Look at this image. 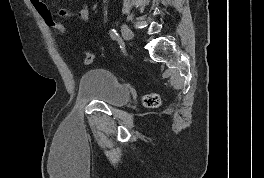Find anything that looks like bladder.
I'll use <instances>...</instances> for the list:
<instances>
[{"mask_svg":"<svg viewBox=\"0 0 264 178\" xmlns=\"http://www.w3.org/2000/svg\"><path fill=\"white\" fill-rule=\"evenodd\" d=\"M78 96L82 100L124 106L130 99V92L113 72L99 68L82 74L78 84Z\"/></svg>","mask_w":264,"mask_h":178,"instance_id":"obj_1","label":"bladder"}]
</instances>
